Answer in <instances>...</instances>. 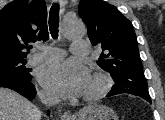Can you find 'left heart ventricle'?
<instances>
[{
    "label": "left heart ventricle",
    "mask_w": 165,
    "mask_h": 120,
    "mask_svg": "<svg viewBox=\"0 0 165 120\" xmlns=\"http://www.w3.org/2000/svg\"><path fill=\"white\" fill-rule=\"evenodd\" d=\"M98 86H99V83L95 79L90 77L89 82L83 92V95L94 92L98 88Z\"/></svg>",
    "instance_id": "obj_1"
}]
</instances>
